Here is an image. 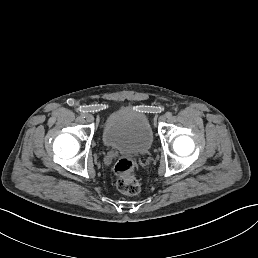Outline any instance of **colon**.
I'll use <instances>...</instances> for the list:
<instances>
[{
	"label": "colon",
	"mask_w": 258,
	"mask_h": 258,
	"mask_svg": "<svg viewBox=\"0 0 258 258\" xmlns=\"http://www.w3.org/2000/svg\"><path fill=\"white\" fill-rule=\"evenodd\" d=\"M135 163L132 159L118 156L114 160L113 172L116 185L123 194L134 196L140 191V184L134 173Z\"/></svg>",
	"instance_id": "1"
}]
</instances>
